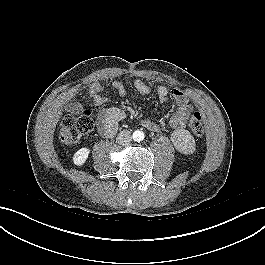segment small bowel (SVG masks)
<instances>
[{"instance_id":"obj_1","label":"small bowel","mask_w":265,"mask_h":265,"mask_svg":"<svg viewBox=\"0 0 265 265\" xmlns=\"http://www.w3.org/2000/svg\"><path fill=\"white\" fill-rule=\"evenodd\" d=\"M133 85L140 95H147L151 92V86L140 78H135ZM111 86L119 95H125V85L121 80H114ZM74 93L75 91H71L67 96H72ZM156 94L160 102L164 103L169 98H172L176 105V110L169 120V124L173 128L171 141L174 147L177 151L186 155L194 153L195 141L186 129L187 120L194 107L190 103L187 94L180 88L169 89L165 85L158 86ZM88 95L94 107H100L109 100L104 94V87L98 82H92L89 85ZM67 109L71 113L77 114L81 111V105L72 102L68 104ZM125 117L126 110L120 107H113L101 111L97 118L99 133L107 138L114 136L119 123ZM141 125L152 131H158L160 129V126L156 122L149 119L141 120Z\"/></svg>"}]
</instances>
